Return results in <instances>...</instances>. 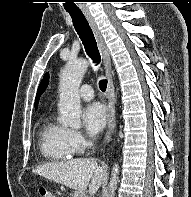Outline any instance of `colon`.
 <instances>
[{"label": "colon", "mask_w": 191, "mask_h": 197, "mask_svg": "<svg viewBox=\"0 0 191 197\" xmlns=\"http://www.w3.org/2000/svg\"><path fill=\"white\" fill-rule=\"evenodd\" d=\"M39 195L40 197H54V195L44 187L39 188Z\"/></svg>", "instance_id": "5ec220e1"}]
</instances>
